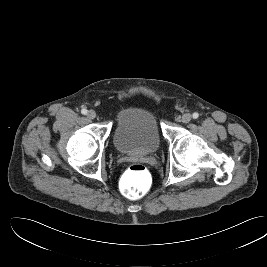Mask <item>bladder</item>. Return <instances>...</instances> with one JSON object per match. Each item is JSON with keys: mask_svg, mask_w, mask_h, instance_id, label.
I'll use <instances>...</instances> for the list:
<instances>
[{"mask_svg": "<svg viewBox=\"0 0 267 267\" xmlns=\"http://www.w3.org/2000/svg\"><path fill=\"white\" fill-rule=\"evenodd\" d=\"M112 142L126 155L154 153L161 143V131L153 111L142 106H130L118 116Z\"/></svg>", "mask_w": 267, "mask_h": 267, "instance_id": "1", "label": "bladder"}]
</instances>
